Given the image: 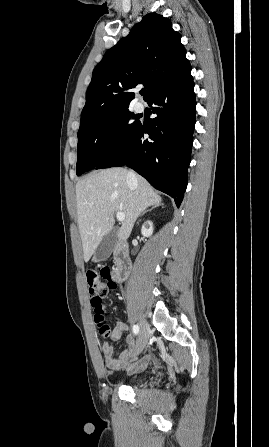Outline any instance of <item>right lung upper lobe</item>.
Masks as SVG:
<instances>
[{"label":"right lung upper lobe","instance_id":"obj_1","mask_svg":"<svg viewBox=\"0 0 269 447\" xmlns=\"http://www.w3.org/2000/svg\"><path fill=\"white\" fill-rule=\"evenodd\" d=\"M181 35L168 18L150 13L125 38L109 49L95 67L86 93L80 127L99 116L129 107L138 84L149 95L174 77L189 61Z\"/></svg>","mask_w":269,"mask_h":447}]
</instances>
